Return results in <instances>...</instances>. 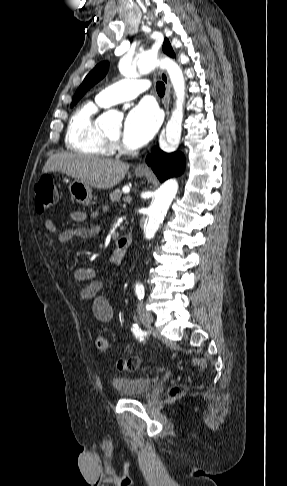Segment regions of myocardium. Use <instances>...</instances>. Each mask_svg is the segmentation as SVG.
<instances>
[{
	"label": "myocardium",
	"instance_id": "obj_1",
	"mask_svg": "<svg viewBox=\"0 0 287 486\" xmlns=\"http://www.w3.org/2000/svg\"><path fill=\"white\" fill-rule=\"evenodd\" d=\"M107 141L111 144V145H115L117 143L116 140L110 138V137H106Z\"/></svg>",
	"mask_w": 287,
	"mask_h": 486
}]
</instances>
